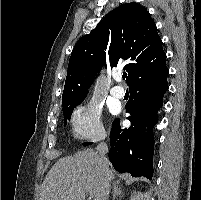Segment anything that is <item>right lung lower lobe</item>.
Returning <instances> with one entry per match:
<instances>
[{
    "label": "right lung lower lobe",
    "mask_w": 201,
    "mask_h": 200,
    "mask_svg": "<svg viewBox=\"0 0 201 200\" xmlns=\"http://www.w3.org/2000/svg\"><path fill=\"white\" fill-rule=\"evenodd\" d=\"M168 72L165 66L154 74L138 79L129 87L130 99L126 112L130 114L128 119L131 126L121 129L119 119H115L110 133L109 160L118 172L152 179L153 127L158 122L157 111L162 107L163 96L168 90ZM146 127L148 131L143 136Z\"/></svg>",
    "instance_id": "right-lung-lower-lobe-1"
}]
</instances>
